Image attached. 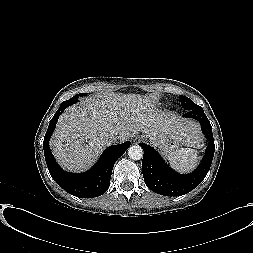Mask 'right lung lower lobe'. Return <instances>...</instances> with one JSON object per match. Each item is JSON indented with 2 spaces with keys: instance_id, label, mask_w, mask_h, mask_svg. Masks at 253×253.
I'll use <instances>...</instances> for the list:
<instances>
[{
  "instance_id": "1",
  "label": "right lung lower lobe",
  "mask_w": 253,
  "mask_h": 253,
  "mask_svg": "<svg viewBox=\"0 0 253 253\" xmlns=\"http://www.w3.org/2000/svg\"><path fill=\"white\" fill-rule=\"evenodd\" d=\"M78 102V98L64 101L49 123L44 137L43 147L47 167L56 183L68 193L82 198H92L104 194L110 185L111 173L117 159L122 156L130 146V141L108 147L96 163L85 173H67L59 167L49 148V139L55 129L57 120L62 112Z\"/></svg>"
}]
</instances>
